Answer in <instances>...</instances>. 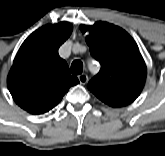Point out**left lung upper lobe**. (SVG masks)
Listing matches in <instances>:
<instances>
[{"instance_id": "5c2ea615", "label": "left lung upper lobe", "mask_w": 165, "mask_h": 156, "mask_svg": "<svg viewBox=\"0 0 165 156\" xmlns=\"http://www.w3.org/2000/svg\"><path fill=\"white\" fill-rule=\"evenodd\" d=\"M80 30L87 33L90 52L101 63L88 89L111 107L131 104L140 95L147 72L133 38L122 28L102 21L80 25Z\"/></svg>"}]
</instances>
